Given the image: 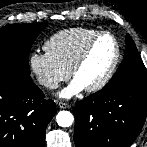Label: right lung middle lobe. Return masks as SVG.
Segmentation results:
<instances>
[{"label":"right lung middle lobe","instance_id":"right-lung-middle-lobe-1","mask_svg":"<svg viewBox=\"0 0 147 147\" xmlns=\"http://www.w3.org/2000/svg\"><path fill=\"white\" fill-rule=\"evenodd\" d=\"M46 27L45 23L11 24L0 29V69L28 77V56L31 46Z\"/></svg>","mask_w":147,"mask_h":147}]
</instances>
